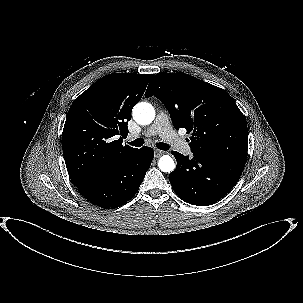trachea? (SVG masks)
<instances>
[{"instance_id": "1", "label": "trachea", "mask_w": 303, "mask_h": 303, "mask_svg": "<svg viewBox=\"0 0 303 303\" xmlns=\"http://www.w3.org/2000/svg\"><path fill=\"white\" fill-rule=\"evenodd\" d=\"M144 144V140L142 138H137L134 141L130 142V145L134 147H141ZM157 148L160 150H168L169 145L163 142H159L156 144Z\"/></svg>"}]
</instances>
